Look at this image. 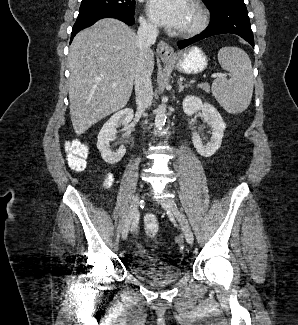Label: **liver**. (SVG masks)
I'll use <instances>...</instances> for the list:
<instances>
[{
    "mask_svg": "<svg viewBox=\"0 0 298 325\" xmlns=\"http://www.w3.org/2000/svg\"><path fill=\"white\" fill-rule=\"evenodd\" d=\"M139 44L136 32L117 18H102L80 30L68 54L69 108L80 136L92 124L126 106L136 76ZM154 70V52L148 64ZM118 84H113L117 82Z\"/></svg>",
    "mask_w": 298,
    "mask_h": 325,
    "instance_id": "6515ba94",
    "label": "liver"
}]
</instances>
